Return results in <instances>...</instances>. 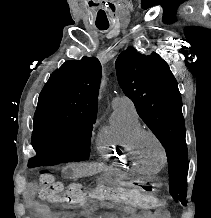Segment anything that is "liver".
<instances>
[{
	"instance_id": "obj_1",
	"label": "liver",
	"mask_w": 211,
	"mask_h": 218,
	"mask_svg": "<svg viewBox=\"0 0 211 218\" xmlns=\"http://www.w3.org/2000/svg\"><path fill=\"white\" fill-rule=\"evenodd\" d=\"M74 174H82V176H90V174H96V170H93L88 164H73L72 166Z\"/></svg>"
}]
</instances>
